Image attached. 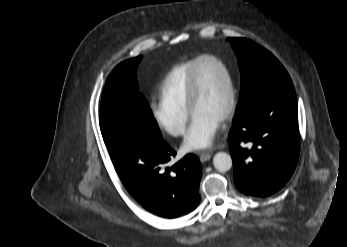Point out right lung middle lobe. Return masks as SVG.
<instances>
[{
	"label": "right lung middle lobe",
	"instance_id": "obj_1",
	"mask_svg": "<svg viewBox=\"0 0 347 247\" xmlns=\"http://www.w3.org/2000/svg\"><path fill=\"white\" fill-rule=\"evenodd\" d=\"M141 58L138 56L120 63L106 81L99 119L103 138L115 128L127 124L162 137L148 103L137 91L135 75Z\"/></svg>",
	"mask_w": 347,
	"mask_h": 247
}]
</instances>
